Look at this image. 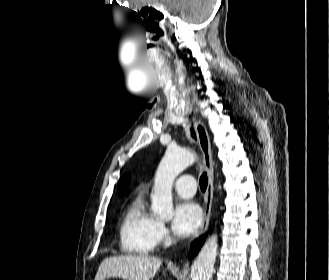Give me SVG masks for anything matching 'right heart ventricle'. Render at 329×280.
I'll use <instances>...</instances> for the list:
<instances>
[{"label":"right heart ventricle","mask_w":329,"mask_h":280,"mask_svg":"<svg viewBox=\"0 0 329 280\" xmlns=\"http://www.w3.org/2000/svg\"><path fill=\"white\" fill-rule=\"evenodd\" d=\"M158 221L151 215L142 197L136 198L129 206L121 227V249L125 253L147 255L156 246V227Z\"/></svg>","instance_id":"1"}]
</instances>
